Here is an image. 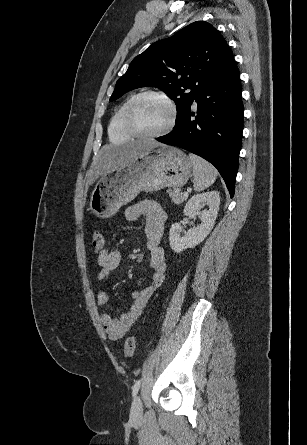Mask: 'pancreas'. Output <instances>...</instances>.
I'll use <instances>...</instances> for the list:
<instances>
[{
	"mask_svg": "<svg viewBox=\"0 0 307 445\" xmlns=\"http://www.w3.org/2000/svg\"><path fill=\"white\" fill-rule=\"evenodd\" d=\"M167 192L175 204H180V202H184V200H186V196H183L181 188H168Z\"/></svg>",
	"mask_w": 307,
	"mask_h": 445,
	"instance_id": "1",
	"label": "pancreas"
}]
</instances>
